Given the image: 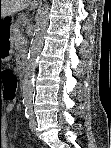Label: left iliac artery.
<instances>
[{
	"instance_id": "44dca946",
	"label": "left iliac artery",
	"mask_w": 111,
	"mask_h": 148,
	"mask_svg": "<svg viewBox=\"0 0 111 148\" xmlns=\"http://www.w3.org/2000/svg\"><path fill=\"white\" fill-rule=\"evenodd\" d=\"M25 115L27 118H30V116H32V105L29 103L25 105Z\"/></svg>"
}]
</instances>
